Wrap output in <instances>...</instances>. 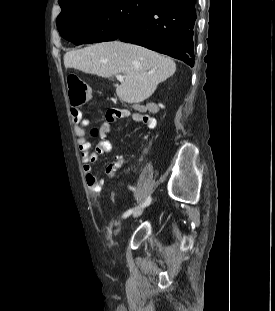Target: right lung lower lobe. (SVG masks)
I'll return each instance as SVG.
<instances>
[{
  "label": "right lung lower lobe",
  "instance_id": "right-lung-lower-lobe-1",
  "mask_svg": "<svg viewBox=\"0 0 275 311\" xmlns=\"http://www.w3.org/2000/svg\"><path fill=\"white\" fill-rule=\"evenodd\" d=\"M196 0H159L116 39L144 46L194 66Z\"/></svg>",
  "mask_w": 275,
  "mask_h": 311
}]
</instances>
